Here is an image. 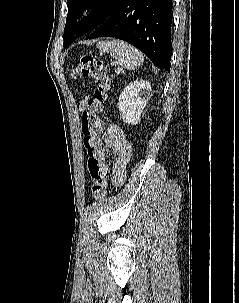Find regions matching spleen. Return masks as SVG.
Listing matches in <instances>:
<instances>
[{
    "instance_id": "3e777b00",
    "label": "spleen",
    "mask_w": 239,
    "mask_h": 303,
    "mask_svg": "<svg viewBox=\"0 0 239 303\" xmlns=\"http://www.w3.org/2000/svg\"><path fill=\"white\" fill-rule=\"evenodd\" d=\"M97 47L110 53L127 70L137 69L144 61L143 54L137 48L121 40L101 41Z\"/></svg>"
}]
</instances>
